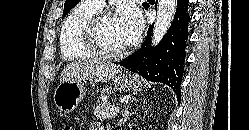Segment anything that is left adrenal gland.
Listing matches in <instances>:
<instances>
[{"label":"left adrenal gland","mask_w":249,"mask_h":130,"mask_svg":"<svg viewBox=\"0 0 249 130\" xmlns=\"http://www.w3.org/2000/svg\"><path fill=\"white\" fill-rule=\"evenodd\" d=\"M134 114V112H129V105L126 106L124 113L122 114V118L118 122V126H121L122 124H125V122L128 120V118Z\"/></svg>","instance_id":"obj_1"}]
</instances>
